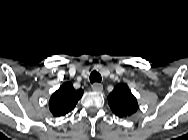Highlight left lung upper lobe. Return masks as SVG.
I'll return each mask as SVG.
<instances>
[{
    "label": "left lung upper lobe",
    "instance_id": "1",
    "mask_svg": "<svg viewBox=\"0 0 188 140\" xmlns=\"http://www.w3.org/2000/svg\"><path fill=\"white\" fill-rule=\"evenodd\" d=\"M113 113L121 118L132 116L138 109V103L126 84L120 83L108 96Z\"/></svg>",
    "mask_w": 188,
    "mask_h": 140
}]
</instances>
